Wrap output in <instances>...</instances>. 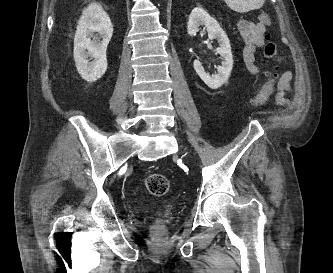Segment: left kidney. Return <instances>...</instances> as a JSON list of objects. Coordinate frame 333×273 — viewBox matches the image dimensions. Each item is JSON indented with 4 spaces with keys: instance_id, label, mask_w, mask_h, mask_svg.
I'll list each match as a JSON object with an SVG mask.
<instances>
[{
    "instance_id": "1",
    "label": "left kidney",
    "mask_w": 333,
    "mask_h": 273,
    "mask_svg": "<svg viewBox=\"0 0 333 273\" xmlns=\"http://www.w3.org/2000/svg\"><path fill=\"white\" fill-rule=\"evenodd\" d=\"M204 25L210 39H218L219 47L215 49L220 54L222 62L217 67V74L208 75L199 60H195L193 65L196 73L211 89L221 87L229 78L233 68V56L229 39L219 23L211 17L203 8L196 7L191 11L188 21V33L193 36L199 31V26Z\"/></svg>"
}]
</instances>
